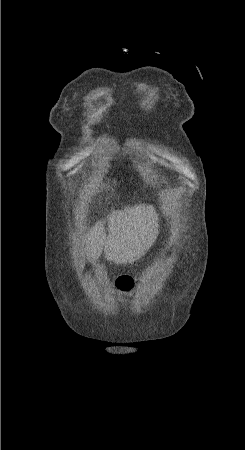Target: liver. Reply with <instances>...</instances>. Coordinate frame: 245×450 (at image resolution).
Segmentation results:
<instances>
[{"label":"liver","instance_id":"1","mask_svg":"<svg viewBox=\"0 0 245 450\" xmlns=\"http://www.w3.org/2000/svg\"><path fill=\"white\" fill-rule=\"evenodd\" d=\"M104 223L97 221L85 236L87 258L96 261L104 250L108 261L132 264L152 246L158 235V214L152 205L128 206L113 210Z\"/></svg>","mask_w":245,"mask_h":450}]
</instances>
